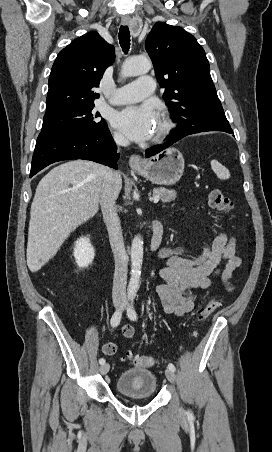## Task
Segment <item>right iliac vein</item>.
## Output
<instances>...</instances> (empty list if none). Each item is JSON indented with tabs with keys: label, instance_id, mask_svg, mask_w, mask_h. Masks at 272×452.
Segmentation results:
<instances>
[{
	"label": "right iliac vein",
	"instance_id": "obj_1",
	"mask_svg": "<svg viewBox=\"0 0 272 452\" xmlns=\"http://www.w3.org/2000/svg\"><path fill=\"white\" fill-rule=\"evenodd\" d=\"M114 306H115L116 308H119V307L121 306V302H120V301H115V302H114ZM109 369H110L109 363H104V364L101 365V367H100V372H101L102 375H106V374L108 373Z\"/></svg>",
	"mask_w": 272,
	"mask_h": 452
}]
</instances>
